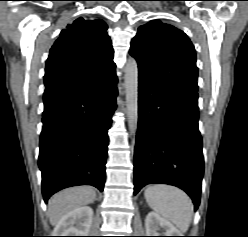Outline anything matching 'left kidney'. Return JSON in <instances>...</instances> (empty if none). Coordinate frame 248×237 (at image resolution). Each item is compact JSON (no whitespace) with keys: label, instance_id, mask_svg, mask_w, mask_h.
Listing matches in <instances>:
<instances>
[{"label":"left kidney","instance_id":"5707ae66","mask_svg":"<svg viewBox=\"0 0 248 237\" xmlns=\"http://www.w3.org/2000/svg\"><path fill=\"white\" fill-rule=\"evenodd\" d=\"M160 229L163 230V234H160ZM145 231L146 236H182V234H180L181 232H179L171 222L155 212H150L146 216Z\"/></svg>","mask_w":248,"mask_h":237}]
</instances>
